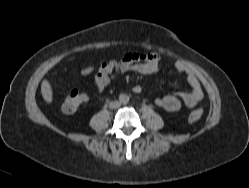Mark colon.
I'll use <instances>...</instances> for the list:
<instances>
[{
    "mask_svg": "<svg viewBox=\"0 0 249 188\" xmlns=\"http://www.w3.org/2000/svg\"><path fill=\"white\" fill-rule=\"evenodd\" d=\"M88 70H85L84 73H87ZM88 101V96L80 91L73 90L71 91L65 98V101L63 103V110L67 113L73 112L79 107L85 105ZM203 115V109L202 108H196L193 110L189 116L188 120L189 122H195L199 120Z\"/></svg>",
    "mask_w": 249,
    "mask_h": 188,
    "instance_id": "obj_1",
    "label": "colon"
}]
</instances>
